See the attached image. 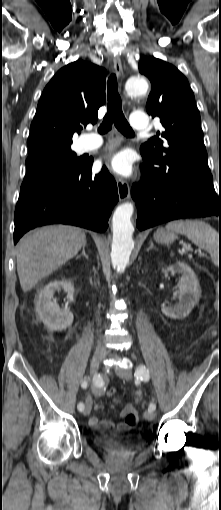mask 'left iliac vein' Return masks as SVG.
Segmentation results:
<instances>
[{
	"label": "left iliac vein",
	"instance_id": "left-iliac-vein-1",
	"mask_svg": "<svg viewBox=\"0 0 221 510\" xmlns=\"http://www.w3.org/2000/svg\"><path fill=\"white\" fill-rule=\"evenodd\" d=\"M115 372L116 374L125 379V380H131L132 379V371L130 368H120V367H116L115 368ZM144 418L147 420V421H153L155 419V413L154 411H150V410H145L144 411Z\"/></svg>",
	"mask_w": 221,
	"mask_h": 510
}]
</instances>
